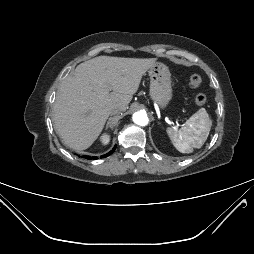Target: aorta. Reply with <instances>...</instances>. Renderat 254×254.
<instances>
[{"label": "aorta", "mask_w": 254, "mask_h": 254, "mask_svg": "<svg viewBox=\"0 0 254 254\" xmlns=\"http://www.w3.org/2000/svg\"><path fill=\"white\" fill-rule=\"evenodd\" d=\"M133 121L140 126H145L148 124L149 119L144 111L136 112L133 114Z\"/></svg>", "instance_id": "obj_1"}]
</instances>
